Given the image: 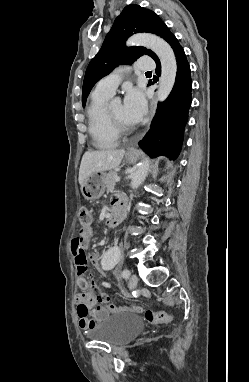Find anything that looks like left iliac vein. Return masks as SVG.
Instances as JSON below:
<instances>
[{
    "instance_id": "left-iliac-vein-1",
    "label": "left iliac vein",
    "mask_w": 249,
    "mask_h": 382,
    "mask_svg": "<svg viewBox=\"0 0 249 382\" xmlns=\"http://www.w3.org/2000/svg\"><path fill=\"white\" fill-rule=\"evenodd\" d=\"M138 285V277L136 275H132L130 278H129V281H128V288L133 290L137 287Z\"/></svg>"
}]
</instances>
